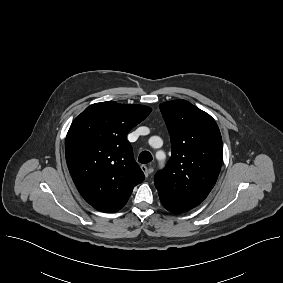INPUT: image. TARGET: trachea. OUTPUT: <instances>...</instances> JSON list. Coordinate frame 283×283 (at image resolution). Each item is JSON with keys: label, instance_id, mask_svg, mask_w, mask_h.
Listing matches in <instances>:
<instances>
[{"label": "trachea", "instance_id": "1", "mask_svg": "<svg viewBox=\"0 0 283 283\" xmlns=\"http://www.w3.org/2000/svg\"><path fill=\"white\" fill-rule=\"evenodd\" d=\"M140 163L146 164L152 161V155L148 151H143L138 157Z\"/></svg>", "mask_w": 283, "mask_h": 283}]
</instances>
